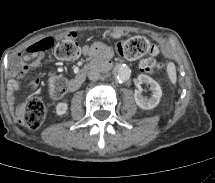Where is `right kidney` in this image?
<instances>
[{
    "mask_svg": "<svg viewBox=\"0 0 215 183\" xmlns=\"http://www.w3.org/2000/svg\"><path fill=\"white\" fill-rule=\"evenodd\" d=\"M68 104L66 102H60L56 106V114L62 116L67 112Z\"/></svg>",
    "mask_w": 215,
    "mask_h": 183,
    "instance_id": "1",
    "label": "right kidney"
}]
</instances>
